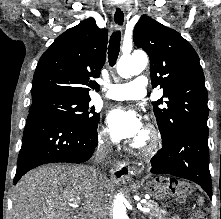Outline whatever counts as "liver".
<instances>
[{
  "mask_svg": "<svg viewBox=\"0 0 221 219\" xmlns=\"http://www.w3.org/2000/svg\"><path fill=\"white\" fill-rule=\"evenodd\" d=\"M106 177L97 178L83 165H49L28 172L15 187L13 219H71L74 212L107 213Z\"/></svg>",
  "mask_w": 221,
  "mask_h": 219,
  "instance_id": "liver-1",
  "label": "liver"
}]
</instances>
